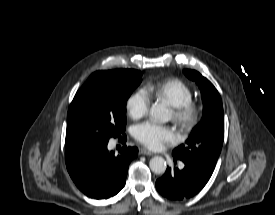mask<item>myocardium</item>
<instances>
[{"mask_svg": "<svg viewBox=\"0 0 275 215\" xmlns=\"http://www.w3.org/2000/svg\"><path fill=\"white\" fill-rule=\"evenodd\" d=\"M173 119L182 129L190 130L199 121L201 109L198 104L193 101L185 103L178 107H172Z\"/></svg>", "mask_w": 275, "mask_h": 215, "instance_id": "obj_1", "label": "myocardium"}]
</instances>
